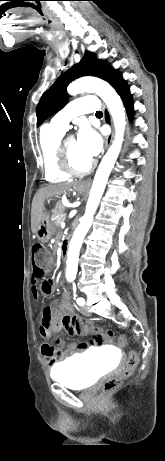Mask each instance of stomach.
<instances>
[{"label": "stomach", "instance_id": "stomach-1", "mask_svg": "<svg viewBox=\"0 0 165 461\" xmlns=\"http://www.w3.org/2000/svg\"><path fill=\"white\" fill-rule=\"evenodd\" d=\"M75 190L79 193H84L85 188L82 184H77ZM54 233V227L52 222L50 221L49 215L47 213L43 214L42 221L38 230L36 231V237L40 242H48L51 239Z\"/></svg>", "mask_w": 165, "mask_h": 461}]
</instances>
